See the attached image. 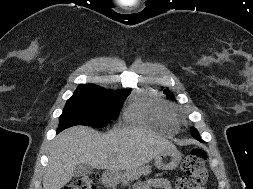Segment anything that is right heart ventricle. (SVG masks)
Returning a JSON list of instances; mask_svg holds the SVG:
<instances>
[{"instance_id": "e07e8e85", "label": "right heart ventricle", "mask_w": 253, "mask_h": 189, "mask_svg": "<svg viewBox=\"0 0 253 189\" xmlns=\"http://www.w3.org/2000/svg\"><path fill=\"white\" fill-rule=\"evenodd\" d=\"M125 119L130 124L141 127H175L177 120L170 107L151 101L137 100L125 111Z\"/></svg>"}]
</instances>
